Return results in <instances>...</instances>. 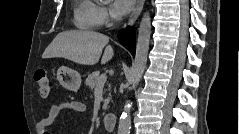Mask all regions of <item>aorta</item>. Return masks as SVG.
Returning <instances> with one entry per match:
<instances>
[{"label": "aorta", "mask_w": 239, "mask_h": 134, "mask_svg": "<svg viewBox=\"0 0 239 134\" xmlns=\"http://www.w3.org/2000/svg\"><path fill=\"white\" fill-rule=\"evenodd\" d=\"M150 36H151V18H150L149 12H145L143 14V17L141 19L139 29H138L135 60L132 67V83L134 85L139 84L146 67L149 44H150ZM131 107H132V103L130 101H126L123 112L119 120L118 134L130 133Z\"/></svg>", "instance_id": "obj_1"}]
</instances>
